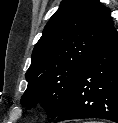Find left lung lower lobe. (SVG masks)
<instances>
[{"mask_svg": "<svg viewBox=\"0 0 118 123\" xmlns=\"http://www.w3.org/2000/svg\"><path fill=\"white\" fill-rule=\"evenodd\" d=\"M82 118L118 123V33L114 27L82 68L55 122Z\"/></svg>", "mask_w": 118, "mask_h": 123, "instance_id": "left-lung-lower-lobe-1", "label": "left lung lower lobe"}]
</instances>
